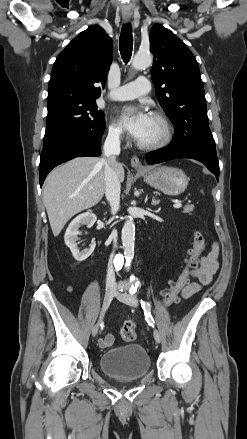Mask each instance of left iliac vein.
Returning <instances> with one entry per match:
<instances>
[{"label": "left iliac vein", "instance_id": "1", "mask_svg": "<svg viewBox=\"0 0 247 439\" xmlns=\"http://www.w3.org/2000/svg\"><path fill=\"white\" fill-rule=\"evenodd\" d=\"M115 296L117 297V299H119L121 302L132 306V307H137L138 306V300L135 296L125 293V292H116ZM153 336L154 339L157 343L161 342V336L160 333L155 329L153 331Z\"/></svg>", "mask_w": 247, "mask_h": 439}]
</instances>
